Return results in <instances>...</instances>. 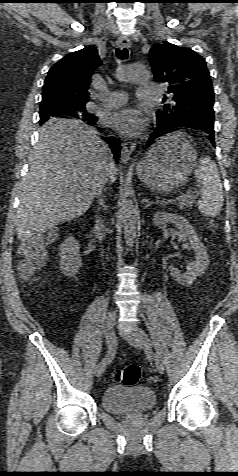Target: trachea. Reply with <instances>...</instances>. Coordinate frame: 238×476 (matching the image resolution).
<instances>
[{
  "instance_id": "obj_1",
  "label": "trachea",
  "mask_w": 238,
  "mask_h": 476,
  "mask_svg": "<svg viewBox=\"0 0 238 476\" xmlns=\"http://www.w3.org/2000/svg\"><path fill=\"white\" fill-rule=\"evenodd\" d=\"M116 56L121 59V60H124L128 57V50L126 48L120 50V49H117L116 50Z\"/></svg>"
}]
</instances>
